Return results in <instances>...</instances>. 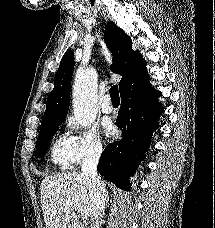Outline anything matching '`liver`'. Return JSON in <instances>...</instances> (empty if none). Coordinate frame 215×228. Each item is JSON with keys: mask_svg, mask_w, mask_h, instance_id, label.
<instances>
[{"mask_svg": "<svg viewBox=\"0 0 215 228\" xmlns=\"http://www.w3.org/2000/svg\"><path fill=\"white\" fill-rule=\"evenodd\" d=\"M41 208L46 228H83L67 200L83 206L87 218H91L92 190L82 174H55L46 176L40 186Z\"/></svg>", "mask_w": 215, "mask_h": 228, "instance_id": "6515ba94", "label": "liver"}]
</instances>
